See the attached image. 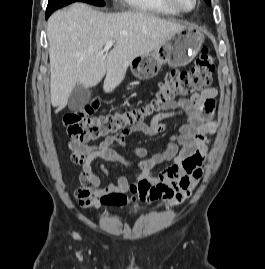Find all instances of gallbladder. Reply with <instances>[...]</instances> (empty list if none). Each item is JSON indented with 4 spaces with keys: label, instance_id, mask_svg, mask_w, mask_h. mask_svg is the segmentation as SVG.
<instances>
[{
    "label": "gallbladder",
    "instance_id": "bac80fb5",
    "mask_svg": "<svg viewBox=\"0 0 265 269\" xmlns=\"http://www.w3.org/2000/svg\"><path fill=\"white\" fill-rule=\"evenodd\" d=\"M90 98V89H86L82 85L77 84L70 94L68 107L72 111L80 110L89 102Z\"/></svg>",
    "mask_w": 265,
    "mask_h": 269
}]
</instances>
